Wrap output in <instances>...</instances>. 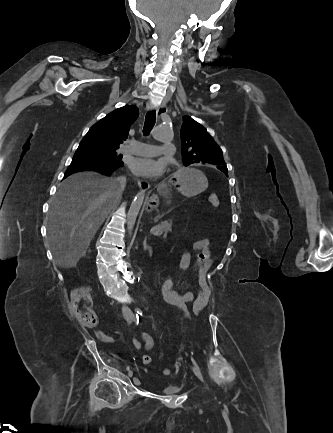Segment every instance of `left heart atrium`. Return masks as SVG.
Instances as JSON below:
<instances>
[{
    "label": "left heart atrium",
    "mask_w": 333,
    "mask_h": 433,
    "mask_svg": "<svg viewBox=\"0 0 333 433\" xmlns=\"http://www.w3.org/2000/svg\"><path fill=\"white\" fill-rule=\"evenodd\" d=\"M130 167L136 175L145 177H157L164 170L163 163L151 157L134 158L130 162Z\"/></svg>",
    "instance_id": "39dd6f15"
}]
</instances>
